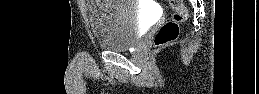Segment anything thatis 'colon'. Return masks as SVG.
Instances as JSON below:
<instances>
[{"label":"colon","mask_w":259,"mask_h":94,"mask_svg":"<svg viewBox=\"0 0 259 94\" xmlns=\"http://www.w3.org/2000/svg\"><path fill=\"white\" fill-rule=\"evenodd\" d=\"M169 5L173 10L172 19L156 33L155 44L157 46H164L176 40L179 35V23L187 17V10L182 0H169Z\"/></svg>","instance_id":"1"}]
</instances>
